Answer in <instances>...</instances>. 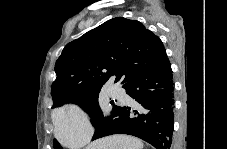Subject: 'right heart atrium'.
Here are the masks:
<instances>
[{
  "mask_svg": "<svg viewBox=\"0 0 227 149\" xmlns=\"http://www.w3.org/2000/svg\"><path fill=\"white\" fill-rule=\"evenodd\" d=\"M56 135L66 146H81L89 142L93 129L78 104H70L58 109L53 117Z\"/></svg>",
  "mask_w": 227,
  "mask_h": 149,
  "instance_id": "obj_1",
  "label": "right heart atrium"
}]
</instances>
